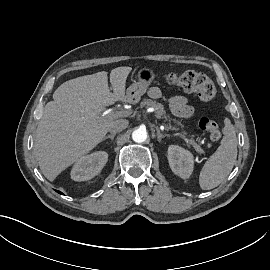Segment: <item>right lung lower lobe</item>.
Wrapping results in <instances>:
<instances>
[{"label":"right lung lower lobe","instance_id":"right-lung-lower-lobe-1","mask_svg":"<svg viewBox=\"0 0 270 270\" xmlns=\"http://www.w3.org/2000/svg\"><path fill=\"white\" fill-rule=\"evenodd\" d=\"M56 192H58L59 194H62L60 191H56Z\"/></svg>","mask_w":270,"mask_h":270}]
</instances>
